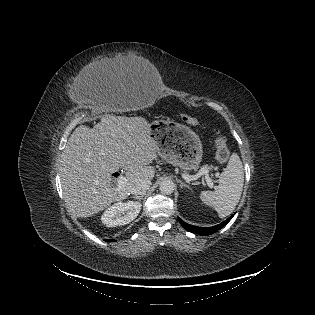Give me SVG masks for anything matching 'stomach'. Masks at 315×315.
<instances>
[{
	"instance_id": "1",
	"label": "stomach",
	"mask_w": 315,
	"mask_h": 315,
	"mask_svg": "<svg viewBox=\"0 0 315 315\" xmlns=\"http://www.w3.org/2000/svg\"><path fill=\"white\" fill-rule=\"evenodd\" d=\"M150 137L157 142V152L166 162L184 171L195 170L202 161L199 136L189 127L170 119L149 123Z\"/></svg>"
}]
</instances>
